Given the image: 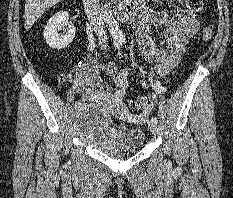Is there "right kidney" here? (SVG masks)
Here are the masks:
<instances>
[{
  "label": "right kidney",
  "instance_id": "1",
  "mask_svg": "<svg viewBox=\"0 0 233 198\" xmlns=\"http://www.w3.org/2000/svg\"><path fill=\"white\" fill-rule=\"evenodd\" d=\"M62 27H68L67 33L64 35L59 34ZM76 29L69 22V14L65 11L56 13L47 22L43 35L46 43L53 49H64L74 39Z\"/></svg>",
  "mask_w": 233,
  "mask_h": 198
}]
</instances>
